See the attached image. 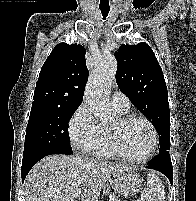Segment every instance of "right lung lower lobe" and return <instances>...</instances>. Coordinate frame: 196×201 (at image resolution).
<instances>
[{"label": "right lung lower lobe", "instance_id": "right-lung-lower-lobe-1", "mask_svg": "<svg viewBox=\"0 0 196 201\" xmlns=\"http://www.w3.org/2000/svg\"><path fill=\"white\" fill-rule=\"evenodd\" d=\"M51 154H72V152H66L62 151L56 148H40V149H35L33 151H30L26 154L23 155V160H22V169H21V174H22V182L24 181L26 175L30 171V169L36 164L40 159L47 155Z\"/></svg>", "mask_w": 196, "mask_h": 201}]
</instances>
